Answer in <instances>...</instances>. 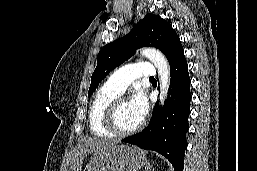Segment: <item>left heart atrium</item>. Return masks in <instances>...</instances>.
Segmentation results:
<instances>
[{
    "label": "left heart atrium",
    "instance_id": "obj_1",
    "mask_svg": "<svg viewBox=\"0 0 257 171\" xmlns=\"http://www.w3.org/2000/svg\"><path fill=\"white\" fill-rule=\"evenodd\" d=\"M129 105L140 120H143L145 118L148 112V102L142 90L137 89L133 93L129 101Z\"/></svg>",
    "mask_w": 257,
    "mask_h": 171
}]
</instances>
